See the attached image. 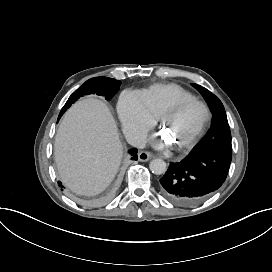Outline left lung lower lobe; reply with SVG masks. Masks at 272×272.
<instances>
[{"mask_svg":"<svg viewBox=\"0 0 272 272\" xmlns=\"http://www.w3.org/2000/svg\"><path fill=\"white\" fill-rule=\"evenodd\" d=\"M232 156L220 151L189 153L171 163L160 179V191L171 202L189 206L200 202L225 181Z\"/></svg>","mask_w":272,"mask_h":272,"instance_id":"obj_1","label":"left lung lower lobe"}]
</instances>
